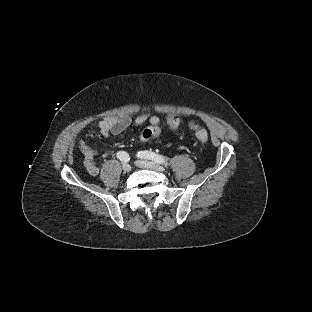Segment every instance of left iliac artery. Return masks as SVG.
<instances>
[{
    "label": "left iliac artery",
    "instance_id": "44dca946",
    "mask_svg": "<svg viewBox=\"0 0 312 312\" xmlns=\"http://www.w3.org/2000/svg\"><path fill=\"white\" fill-rule=\"evenodd\" d=\"M137 156L141 159L152 160L156 163H162L163 164V163L168 162V160L165 157H163L159 154H156L154 152H150V151H140V152H138Z\"/></svg>",
    "mask_w": 312,
    "mask_h": 312
}]
</instances>
